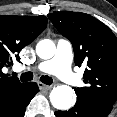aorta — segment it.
<instances>
[{
	"label": "aorta",
	"mask_w": 117,
	"mask_h": 117,
	"mask_svg": "<svg viewBox=\"0 0 117 117\" xmlns=\"http://www.w3.org/2000/svg\"><path fill=\"white\" fill-rule=\"evenodd\" d=\"M55 51V44L49 39L41 40L36 46V53L41 59L52 58ZM49 97L52 106L58 110H68L73 107L76 102L74 90L67 85H58L54 87Z\"/></svg>",
	"instance_id": "1"
}]
</instances>
